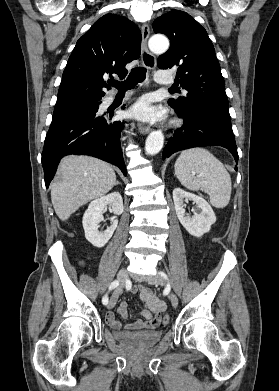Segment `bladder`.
Instances as JSON below:
<instances>
[{
  "mask_svg": "<svg viewBox=\"0 0 279 391\" xmlns=\"http://www.w3.org/2000/svg\"><path fill=\"white\" fill-rule=\"evenodd\" d=\"M160 330L113 331L114 338L133 349L149 347L161 338Z\"/></svg>",
  "mask_w": 279,
  "mask_h": 391,
  "instance_id": "obj_1",
  "label": "bladder"
}]
</instances>
